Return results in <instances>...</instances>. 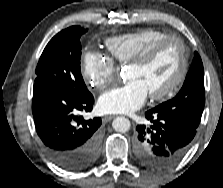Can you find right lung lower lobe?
<instances>
[{
  "label": "right lung lower lobe",
  "instance_id": "98d812e1",
  "mask_svg": "<svg viewBox=\"0 0 223 188\" xmlns=\"http://www.w3.org/2000/svg\"><path fill=\"white\" fill-rule=\"evenodd\" d=\"M92 94L77 96L65 90L34 85L32 113L36 132L49 158L67 171L91 166L101 150V118L84 120L91 111Z\"/></svg>",
  "mask_w": 223,
  "mask_h": 188
}]
</instances>
